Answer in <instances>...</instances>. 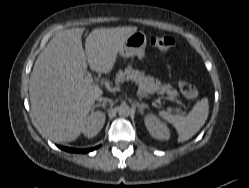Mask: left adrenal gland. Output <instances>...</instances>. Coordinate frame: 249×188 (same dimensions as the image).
I'll list each match as a JSON object with an SVG mask.
<instances>
[{
	"mask_svg": "<svg viewBox=\"0 0 249 188\" xmlns=\"http://www.w3.org/2000/svg\"><path fill=\"white\" fill-rule=\"evenodd\" d=\"M135 105L139 108L141 114H144V109L148 108L147 104L135 102Z\"/></svg>",
	"mask_w": 249,
	"mask_h": 188,
	"instance_id": "obj_1",
	"label": "left adrenal gland"
}]
</instances>
